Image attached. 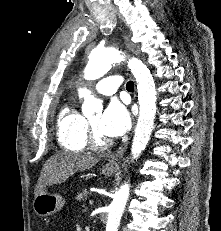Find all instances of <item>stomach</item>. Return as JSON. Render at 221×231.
I'll list each match as a JSON object with an SVG mask.
<instances>
[{
	"instance_id": "stomach-1",
	"label": "stomach",
	"mask_w": 221,
	"mask_h": 231,
	"mask_svg": "<svg viewBox=\"0 0 221 231\" xmlns=\"http://www.w3.org/2000/svg\"><path fill=\"white\" fill-rule=\"evenodd\" d=\"M115 172V169L108 168L107 166L102 168V173L105 176H112ZM65 204V200L62 196L55 193H50L45 189L43 192L35 196L33 200V209L35 213L39 216L45 217L53 215Z\"/></svg>"
}]
</instances>
